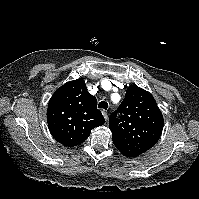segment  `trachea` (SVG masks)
Listing matches in <instances>:
<instances>
[{
  "label": "trachea",
  "mask_w": 199,
  "mask_h": 199,
  "mask_svg": "<svg viewBox=\"0 0 199 199\" xmlns=\"http://www.w3.org/2000/svg\"><path fill=\"white\" fill-rule=\"evenodd\" d=\"M98 108H103V109H107L108 108V103L105 102V101H101L99 104H98Z\"/></svg>",
  "instance_id": "1"
}]
</instances>
